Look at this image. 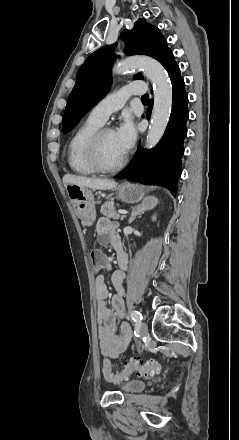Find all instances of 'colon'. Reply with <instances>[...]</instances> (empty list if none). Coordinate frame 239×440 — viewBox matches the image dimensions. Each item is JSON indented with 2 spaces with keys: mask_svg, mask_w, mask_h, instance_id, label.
I'll use <instances>...</instances> for the list:
<instances>
[{
  "mask_svg": "<svg viewBox=\"0 0 239 440\" xmlns=\"http://www.w3.org/2000/svg\"><path fill=\"white\" fill-rule=\"evenodd\" d=\"M91 262L93 269L98 272L102 270L103 268V256L102 253L98 250H94L91 253ZM159 365L154 360H144V361H137V360H131L125 363L124 369L117 375H114L112 373V367L111 362L109 359H105L103 361V374L107 379H110L112 381H124L127 378H129L132 374H149V373H155L158 371Z\"/></svg>",
  "mask_w": 239,
  "mask_h": 440,
  "instance_id": "5ec220e1",
  "label": "colon"
}]
</instances>
